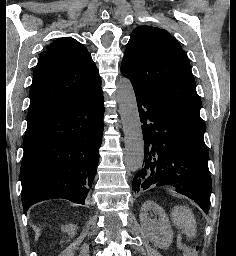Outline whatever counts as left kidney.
<instances>
[{
    "label": "left kidney",
    "instance_id": "1",
    "mask_svg": "<svg viewBox=\"0 0 236 256\" xmlns=\"http://www.w3.org/2000/svg\"><path fill=\"white\" fill-rule=\"evenodd\" d=\"M148 212H154L155 216H158V220H150ZM140 224L154 246H158L161 250H168L173 242V232L161 206H157L151 200L144 202L140 210Z\"/></svg>",
    "mask_w": 236,
    "mask_h": 256
}]
</instances>
